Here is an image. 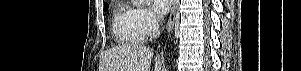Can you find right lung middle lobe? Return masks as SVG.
Returning <instances> with one entry per match:
<instances>
[{
  "instance_id": "obj_1",
  "label": "right lung middle lobe",
  "mask_w": 301,
  "mask_h": 71,
  "mask_svg": "<svg viewBox=\"0 0 301 71\" xmlns=\"http://www.w3.org/2000/svg\"><path fill=\"white\" fill-rule=\"evenodd\" d=\"M108 4L104 5V10L106 11L108 9Z\"/></svg>"
}]
</instances>
